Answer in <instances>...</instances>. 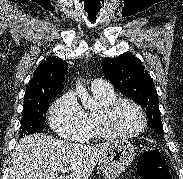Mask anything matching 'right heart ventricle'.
Here are the masks:
<instances>
[{
  "instance_id": "1",
  "label": "right heart ventricle",
  "mask_w": 183,
  "mask_h": 179,
  "mask_svg": "<svg viewBox=\"0 0 183 179\" xmlns=\"http://www.w3.org/2000/svg\"><path fill=\"white\" fill-rule=\"evenodd\" d=\"M95 98L97 99L98 103H99V108L102 107L104 104L108 103L109 101L117 98L116 93L113 90L110 91H92ZM98 110H89L86 113V117H87V121L89 124V137H93V136H105L97 123V113Z\"/></svg>"
}]
</instances>
